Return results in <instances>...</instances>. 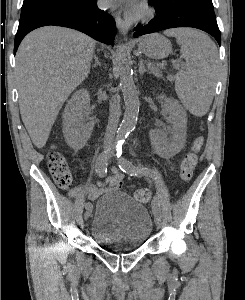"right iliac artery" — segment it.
Returning a JSON list of instances; mask_svg holds the SVG:
<instances>
[{
  "label": "right iliac artery",
  "mask_w": 245,
  "mask_h": 300,
  "mask_svg": "<svg viewBox=\"0 0 245 300\" xmlns=\"http://www.w3.org/2000/svg\"><path fill=\"white\" fill-rule=\"evenodd\" d=\"M110 150L107 149L104 152H102L97 160H96V173L100 176V177H104L105 174L107 173V166H108V156H109V152ZM92 204L90 202L86 203V208L90 207Z\"/></svg>",
  "instance_id": "right-iliac-artery-1"
}]
</instances>
